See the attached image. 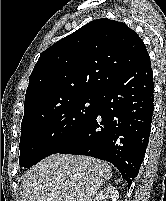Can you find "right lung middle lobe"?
Returning a JSON list of instances; mask_svg holds the SVG:
<instances>
[{
  "label": "right lung middle lobe",
  "instance_id": "dd1d6c3e",
  "mask_svg": "<svg viewBox=\"0 0 166 201\" xmlns=\"http://www.w3.org/2000/svg\"><path fill=\"white\" fill-rule=\"evenodd\" d=\"M97 96H85L23 117L19 144L21 167H31L53 152L95 113Z\"/></svg>",
  "mask_w": 166,
  "mask_h": 201
}]
</instances>
